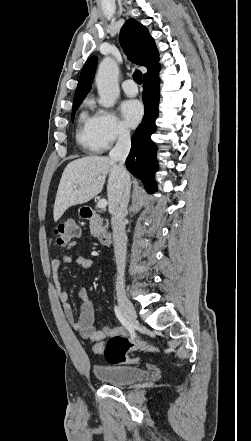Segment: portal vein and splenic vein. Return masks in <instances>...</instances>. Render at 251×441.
Segmentation results:
<instances>
[{"label": "portal vein and splenic vein", "instance_id": "18ae733b", "mask_svg": "<svg viewBox=\"0 0 251 441\" xmlns=\"http://www.w3.org/2000/svg\"><path fill=\"white\" fill-rule=\"evenodd\" d=\"M106 206H107V201H106V199H100V200L97 202V207L100 208V209H103V208H105Z\"/></svg>", "mask_w": 251, "mask_h": 441}]
</instances>
